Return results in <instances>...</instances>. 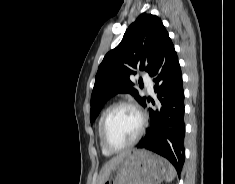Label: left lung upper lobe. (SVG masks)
<instances>
[{
    "label": "left lung upper lobe",
    "instance_id": "obj_1",
    "mask_svg": "<svg viewBox=\"0 0 235 184\" xmlns=\"http://www.w3.org/2000/svg\"><path fill=\"white\" fill-rule=\"evenodd\" d=\"M167 37L161 19L155 15L143 13L128 27L120 44L109 51L99 65L90 102L91 123L106 101L117 93H130L143 105L146 97L138 95L130 77L137 71L150 75L159 48Z\"/></svg>",
    "mask_w": 235,
    "mask_h": 184
}]
</instances>
